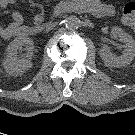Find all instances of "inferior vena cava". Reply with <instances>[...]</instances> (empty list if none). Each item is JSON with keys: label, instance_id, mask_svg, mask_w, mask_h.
I'll list each match as a JSON object with an SVG mask.
<instances>
[{"label": "inferior vena cava", "instance_id": "obj_1", "mask_svg": "<svg viewBox=\"0 0 135 135\" xmlns=\"http://www.w3.org/2000/svg\"><path fill=\"white\" fill-rule=\"evenodd\" d=\"M55 27V24H51L46 28V32L50 31L51 29H53Z\"/></svg>", "mask_w": 135, "mask_h": 135}]
</instances>
